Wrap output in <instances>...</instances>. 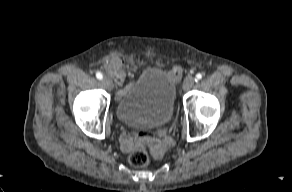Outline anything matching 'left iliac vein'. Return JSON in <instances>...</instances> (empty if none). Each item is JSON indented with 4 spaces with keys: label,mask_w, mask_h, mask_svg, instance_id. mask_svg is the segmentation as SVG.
<instances>
[{
    "label": "left iliac vein",
    "mask_w": 292,
    "mask_h": 192,
    "mask_svg": "<svg viewBox=\"0 0 292 192\" xmlns=\"http://www.w3.org/2000/svg\"><path fill=\"white\" fill-rule=\"evenodd\" d=\"M195 79L193 76H187L183 82V90L187 91L194 85Z\"/></svg>",
    "instance_id": "4c4485c4"
}]
</instances>
